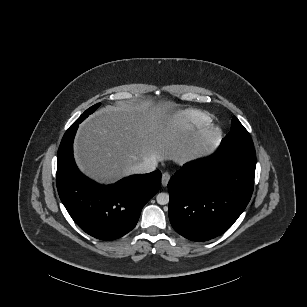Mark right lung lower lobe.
<instances>
[{"instance_id":"98d812e1","label":"right lung lower lobe","mask_w":307,"mask_h":307,"mask_svg":"<svg viewBox=\"0 0 307 307\" xmlns=\"http://www.w3.org/2000/svg\"><path fill=\"white\" fill-rule=\"evenodd\" d=\"M79 117L66 131L57 155V189L62 203L82 230L101 240H114L131 231L143 206L159 191L161 172L133 175L112 185L84 176L73 157Z\"/></svg>"}]
</instances>
